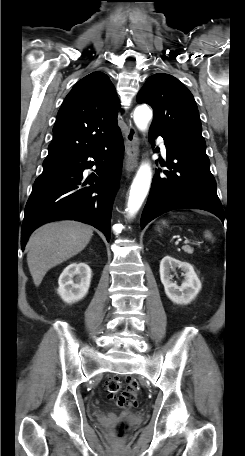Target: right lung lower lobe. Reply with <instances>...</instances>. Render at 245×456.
Returning <instances> with one entry per match:
<instances>
[{
    "instance_id": "obj_1",
    "label": "right lung lower lobe",
    "mask_w": 245,
    "mask_h": 456,
    "mask_svg": "<svg viewBox=\"0 0 245 456\" xmlns=\"http://www.w3.org/2000/svg\"><path fill=\"white\" fill-rule=\"evenodd\" d=\"M124 154L121 132L99 142L79 157L55 168L43 169L25 207L21 230L24 249L40 225L71 219L94 226L110 240L113 200L119 186ZM95 161H90L88 158ZM97 166L86 180L83 171Z\"/></svg>"
}]
</instances>
